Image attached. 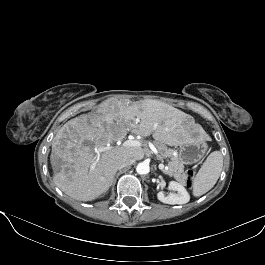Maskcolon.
I'll return each instance as SVG.
<instances>
[{"instance_id": "obj_1", "label": "colon", "mask_w": 265, "mask_h": 265, "mask_svg": "<svg viewBox=\"0 0 265 265\" xmlns=\"http://www.w3.org/2000/svg\"><path fill=\"white\" fill-rule=\"evenodd\" d=\"M194 176H195V171L193 169H190L187 171V185L188 186L192 185Z\"/></svg>"}]
</instances>
